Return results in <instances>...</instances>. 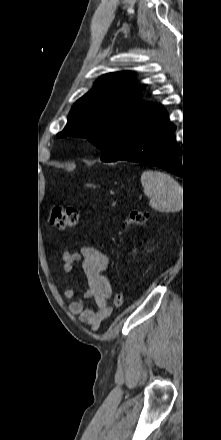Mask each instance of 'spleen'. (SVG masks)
Masks as SVG:
<instances>
[{"mask_svg": "<svg viewBox=\"0 0 221 440\" xmlns=\"http://www.w3.org/2000/svg\"><path fill=\"white\" fill-rule=\"evenodd\" d=\"M144 194L149 205L160 212H174L182 205V187L169 174L148 170L141 175Z\"/></svg>", "mask_w": 221, "mask_h": 440, "instance_id": "spleen-1", "label": "spleen"}]
</instances>
